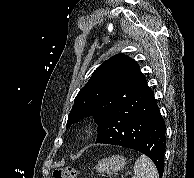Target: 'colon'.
I'll use <instances>...</instances> for the list:
<instances>
[{
    "mask_svg": "<svg viewBox=\"0 0 194 178\" xmlns=\"http://www.w3.org/2000/svg\"><path fill=\"white\" fill-rule=\"evenodd\" d=\"M79 171L73 167H63L55 169L53 178H77Z\"/></svg>",
    "mask_w": 194,
    "mask_h": 178,
    "instance_id": "obj_1",
    "label": "colon"
}]
</instances>
